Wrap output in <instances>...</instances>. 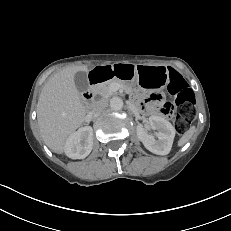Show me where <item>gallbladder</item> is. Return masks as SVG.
Returning a JSON list of instances; mask_svg holds the SVG:
<instances>
[{"instance_id": "obj_1", "label": "gallbladder", "mask_w": 231, "mask_h": 231, "mask_svg": "<svg viewBox=\"0 0 231 231\" xmlns=\"http://www.w3.org/2000/svg\"><path fill=\"white\" fill-rule=\"evenodd\" d=\"M76 88L79 91H85L88 88V80L85 72L79 71L74 76Z\"/></svg>"}]
</instances>
